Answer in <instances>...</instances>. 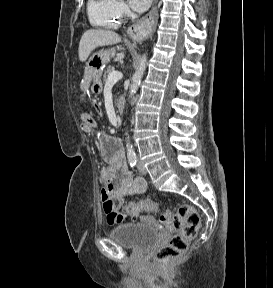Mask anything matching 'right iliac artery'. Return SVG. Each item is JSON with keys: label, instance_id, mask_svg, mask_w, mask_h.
<instances>
[{"label": "right iliac artery", "instance_id": "1", "mask_svg": "<svg viewBox=\"0 0 273 288\" xmlns=\"http://www.w3.org/2000/svg\"><path fill=\"white\" fill-rule=\"evenodd\" d=\"M128 161H129L131 167H134L137 163L136 154H134V153L128 154Z\"/></svg>", "mask_w": 273, "mask_h": 288}]
</instances>
